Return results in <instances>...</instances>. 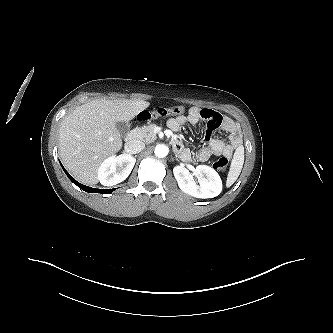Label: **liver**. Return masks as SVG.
<instances>
[{
  "mask_svg": "<svg viewBox=\"0 0 333 333\" xmlns=\"http://www.w3.org/2000/svg\"><path fill=\"white\" fill-rule=\"evenodd\" d=\"M144 100L96 99L81 105L60 123L59 149L66 168L81 183H98L102 161L122 147L117 121H129L149 107Z\"/></svg>",
  "mask_w": 333,
  "mask_h": 333,
  "instance_id": "liver-1",
  "label": "liver"
}]
</instances>
